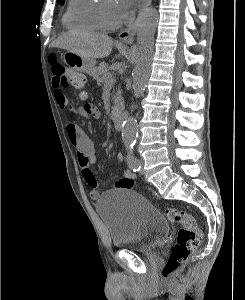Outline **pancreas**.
Wrapping results in <instances>:
<instances>
[{
	"instance_id": "obj_1",
	"label": "pancreas",
	"mask_w": 245,
	"mask_h": 300,
	"mask_svg": "<svg viewBox=\"0 0 245 300\" xmlns=\"http://www.w3.org/2000/svg\"><path fill=\"white\" fill-rule=\"evenodd\" d=\"M92 76L97 81L98 85L104 83L106 87H111L115 82L113 74L110 72V68L106 63L99 64V67L93 70ZM113 100L114 106L112 107V117L123 107V99L120 91L114 95Z\"/></svg>"
}]
</instances>
